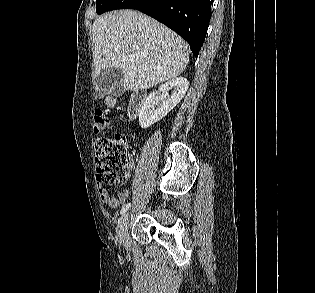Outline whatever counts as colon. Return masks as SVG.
<instances>
[{"mask_svg":"<svg viewBox=\"0 0 315 293\" xmlns=\"http://www.w3.org/2000/svg\"><path fill=\"white\" fill-rule=\"evenodd\" d=\"M109 123L103 111H96L93 116L95 133L104 129ZM130 156L127 141L123 136L112 138L99 137L95 144V164L97 179L101 184L122 185L129 177Z\"/></svg>","mask_w":315,"mask_h":293,"instance_id":"obj_1","label":"colon"}]
</instances>
